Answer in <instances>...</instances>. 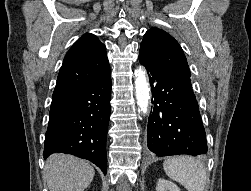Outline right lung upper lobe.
Instances as JSON below:
<instances>
[{
	"mask_svg": "<svg viewBox=\"0 0 251 191\" xmlns=\"http://www.w3.org/2000/svg\"><path fill=\"white\" fill-rule=\"evenodd\" d=\"M110 75L106 47L93 34L79 38L67 52L52 99L102 81Z\"/></svg>",
	"mask_w": 251,
	"mask_h": 191,
	"instance_id": "1",
	"label": "right lung upper lobe"
}]
</instances>
